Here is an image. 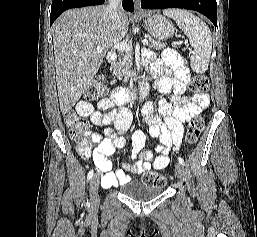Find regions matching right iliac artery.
<instances>
[{"mask_svg":"<svg viewBox=\"0 0 257 237\" xmlns=\"http://www.w3.org/2000/svg\"><path fill=\"white\" fill-rule=\"evenodd\" d=\"M93 177V170L89 171L88 173V176H87V179L88 181ZM87 204H88V201H87Z\"/></svg>","mask_w":257,"mask_h":237,"instance_id":"82829eb1","label":"right iliac artery"}]
</instances>
